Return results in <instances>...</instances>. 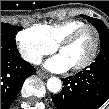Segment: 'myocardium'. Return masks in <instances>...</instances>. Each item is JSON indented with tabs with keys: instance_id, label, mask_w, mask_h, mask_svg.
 Listing matches in <instances>:
<instances>
[{
	"instance_id": "f54148a6",
	"label": "myocardium",
	"mask_w": 109,
	"mask_h": 109,
	"mask_svg": "<svg viewBox=\"0 0 109 109\" xmlns=\"http://www.w3.org/2000/svg\"><path fill=\"white\" fill-rule=\"evenodd\" d=\"M86 29H92L94 31L95 44H94V47H93V50H92L90 56L85 61H83L82 63H80L76 66H71V69L74 71H79V70L87 68L95 60V58L98 54V51H99L100 40H101L100 32L97 29V27H95L92 24H85L83 26H80L79 28H77L73 32H71L66 38H64L57 46L58 51L61 53L66 47L73 44L76 41V39L79 37V35Z\"/></svg>"
}]
</instances>
